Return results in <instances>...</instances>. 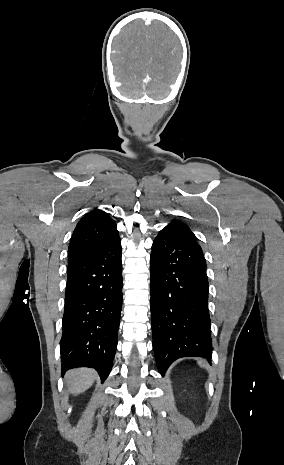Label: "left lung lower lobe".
Masks as SVG:
<instances>
[{"mask_svg": "<svg viewBox=\"0 0 284 465\" xmlns=\"http://www.w3.org/2000/svg\"><path fill=\"white\" fill-rule=\"evenodd\" d=\"M153 348L163 375L176 359L212 354L206 262L196 240L171 228L155 238L150 256Z\"/></svg>", "mask_w": 284, "mask_h": 465, "instance_id": "0a47b994", "label": "left lung lower lobe"}]
</instances>
